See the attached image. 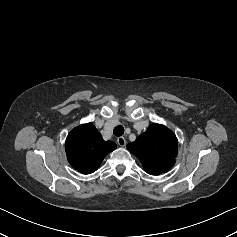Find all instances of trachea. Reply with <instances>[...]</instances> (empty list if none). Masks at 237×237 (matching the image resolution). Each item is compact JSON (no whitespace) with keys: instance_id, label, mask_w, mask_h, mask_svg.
I'll return each mask as SVG.
<instances>
[{"instance_id":"obj_1","label":"trachea","mask_w":237,"mask_h":237,"mask_svg":"<svg viewBox=\"0 0 237 237\" xmlns=\"http://www.w3.org/2000/svg\"><path fill=\"white\" fill-rule=\"evenodd\" d=\"M124 133V127L122 125H118L113 129V134L115 136H122Z\"/></svg>"}]
</instances>
